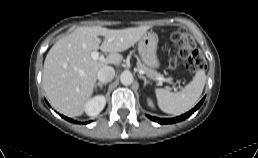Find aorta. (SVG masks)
Wrapping results in <instances>:
<instances>
[{
    "instance_id": "1",
    "label": "aorta",
    "mask_w": 258,
    "mask_h": 158,
    "mask_svg": "<svg viewBox=\"0 0 258 158\" xmlns=\"http://www.w3.org/2000/svg\"><path fill=\"white\" fill-rule=\"evenodd\" d=\"M133 76L129 71H125L120 75V82L123 85H131L133 83Z\"/></svg>"
}]
</instances>
